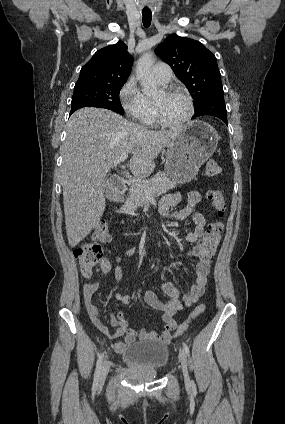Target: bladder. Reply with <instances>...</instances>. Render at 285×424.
Returning a JSON list of instances; mask_svg holds the SVG:
<instances>
[{"instance_id":"1","label":"bladder","mask_w":285,"mask_h":424,"mask_svg":"<svg viewBox=\"0 0 285 424\" xmlns=\"http://www.w3.org/2000/svg\"><path fill=\"white\" fill-rule=\"evenodd\" d=\"M169 356L168 345L159 341L146 340L126 347L122 360L129 369L144 370L157 375L167 365Z\"/></svg>"}]
</instances>
